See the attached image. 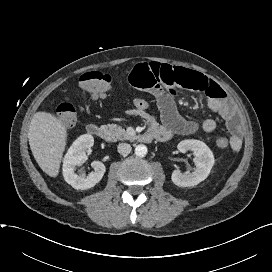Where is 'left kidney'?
Here are the masks:
<instances>
[{
	"mask_svg": "<svg viewBox=\"0 0 272 272\" xmlns=\"http://www.w3.org/2000/svg\"><path fill=\"white\" fill-rule=\"evenodd\" d=\"M177 148L182 153L193 152L196 168L191 173L174 170L171 176L172 182L179 187H190L204 181L214 165V156L210 148L204 142L194 139L181 141Z\"/></svg>",
	"mask_w": 272,
	"mask_h": 272,
	"instance_id": "1",
	"label": "left kidney"
}]
</instances>
